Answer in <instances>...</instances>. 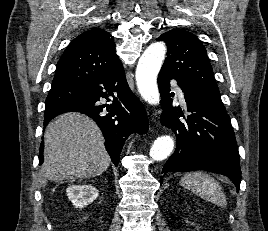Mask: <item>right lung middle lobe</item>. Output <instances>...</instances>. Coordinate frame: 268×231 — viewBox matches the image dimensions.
Returning a JSON list of instances; mask_svg holds the SVG:
<instances>
[{
  "instance_id": "dd1d6c3e",
  "label": "right lung middle lobe",
  "mask_w": 268,
  "mask_h": 231,
  "mask_svg": "<svg viewBox=\"0 0 268 231\" xmlns=\"http://www.w3.org/2000/svg\"><path fill=\"white\" fill-rule=\"evenodd\" d=\"M85 95V88L76 86H57L52 87L47 99L48 104H59L68 100L78 99Z\"/></svg>"
}]
</instances>
